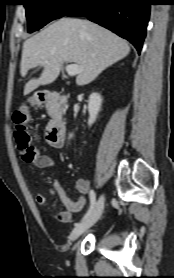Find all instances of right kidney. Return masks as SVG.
Returning a JSON list of instances; mask_svg holds the SVG:
<instances>
[{
    "label": "right kidney",
    "instance_id": "1",
    "mask_svg": "<svg viewBox=\"0 0 174 278\" xmlns=\"http://www.w3.org/2000/svg\"><path fill=\"white\" fill-rule=\"evenodd\" d=\"M102 97L99 93H92L89 96L88 100V111H89V120L88 125L91 126L97 118V115L101 109ZM72 134L69 135V138H72Z\"/></svg>",
    "mask_w": 174,
    "mask_h": 278
}]
</instances>
